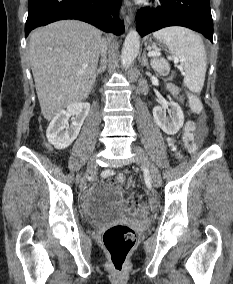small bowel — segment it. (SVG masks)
Segmentation results:
<instances>
[{"label":"small bowel","mask_w":233,"mask_h":284,"mask_svg":"<svg viewBox=\"0 0 233 284\" xmlns=\"http://www.w3.org/2000/svg\"><path fill=\"white\" fill-rule=\"evenodd\" d=\"M172 89L174 90V88H172ZM187 124L194 125L197 128V125L192 121L188 122ZM199 126H200V133L203 134L205 132V120H204V118L201 119Z\"/></svg>","instance_id":"1"}]
</instances>
